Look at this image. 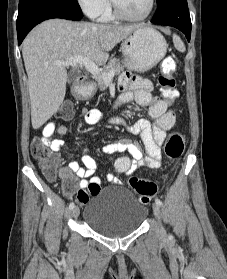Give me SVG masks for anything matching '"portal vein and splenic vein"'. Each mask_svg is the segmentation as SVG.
<instances>
[{
    "mask_svg": "<svg viewBox=\"0 0 227 279\" xmlns=\"http://www.w3.org/2000/svg\"><path fill=\"white\" fill-rule=\"evenodd\" d=\"M57 65L69 67L73 65H83L87 71H89L92 75L97 76L100 74V70L98 65H96L92 60L84 56H75L67 59L66 61H57ZM114 77V71H110L103 75V79L106 82H110Z\"/></svg>",
    "mask_w": 227,
    "mask_h": 279,
    "instance_id": "18ae733b",
    "label": "portal vein and splenic vein"
}]
</instances>
